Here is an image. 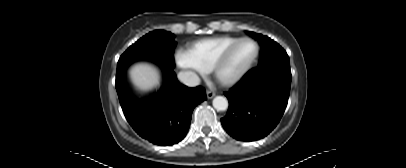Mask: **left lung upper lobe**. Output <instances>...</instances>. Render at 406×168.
<instances>
[{"mask_svg":"<svg viewBox=\"0 0 406 168\" xmlns=\"http://www.w3.org/2000/svg\"><path fill=\"white\" fill-rule=\"evenodd\" d=\"M247 34L258 41L261 45L260 65L275 64L290 68L289 57L286 51L278 43L261 34H256L254 32H247Z\"/></svg>","mask_w":406,"mask_h":168,"instance_id":"obj_1","label":"left lung upper lobe"}]
</instances>
